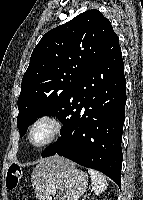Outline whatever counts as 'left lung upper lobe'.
<instances>
[{
  "label": "left lung upper lobe",
  "mask_w": 143,
  "mask_h": 200,
  "mask_svg": "<svg viewBox=\"0 0 143 200\" xmlns=\"http://www.w3.org/2000/svg\"><path fill=\"white\" fill-rule=\"evenodd\" d=\"M116 36L110 21L89 10L47 32L34 48L18 98L20 135L41 115L69 122L70 96L85 70Z\"/></svg>",
  "instance_id": "obj_1"
}]
</instances>
